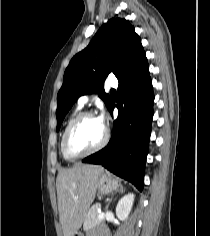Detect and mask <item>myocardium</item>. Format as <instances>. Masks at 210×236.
Returning <instances> with one entry per match:
<instances>
[{"label":"myocardium","mask_w":210,"mask_h":236,"mask_svg":"<svg viewBox=\"0 0 210 236\" xmlns=\"http://www.w3.org/2000/svg\"><path fill=\"white\" fill-rule=\"evenodd\" d=\"M96 118L95 114L92 112H82L77 114L72 120L71 122L68 124L64 136H63V140H62V150L63 153L65 155V157L67 159L73 160V159H78V158H83L85 156L91 155L99 150H101L103 147H105V145L108 143L109 141V130L104 127V135L102 140L100 141L99 144H97L95 147L86 150L84 152H80V153H73L70 148H69V140H70V136L72 134V131L74 130V128L77 126L78 123H80L82 120L86 119V118Z\"/></svg>","instance_id":"f54148a6"}]
</instances>
